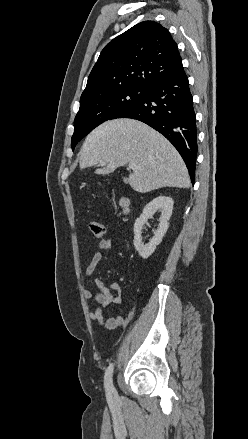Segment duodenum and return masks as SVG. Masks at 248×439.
<instances>
[{
    "mask_svg": "<svg viewBox=\"0 0 248 439\" xmlns=\"http://www.w3.org/2000/svg\"><path fill=\"white\" fill-rule=\"evenodd\" d=\"M119 205L121 207V209L123 210L124 213H127L129 211V206H130V200L127 197H122L119 200Z\"/></svg>",
    "mask_w": 248,
    "mask_h": 439,
    "instance_id": "obj_1",
    "label": "duodenum"
}]
</instances>
